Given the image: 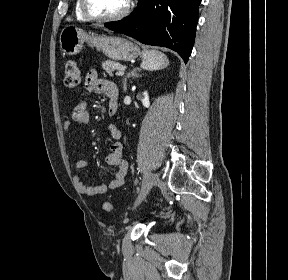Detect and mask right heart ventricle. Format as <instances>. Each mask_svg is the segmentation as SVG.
Listing matches in <instances>:
<instances>
[{
	"label": "right heart ventricle",
	"instance_id": "1",
	"mask_svg": "<svg viewBox=\"0 0 288 280\" xmlns=\"http://www.w3.org/2000/svg\"><path fill=\"white\" fill-rule=\"evenodd\" d=\"M74 13H75L76 19L79 20V21L86 22V21L90 20L82 13L81 8H80V1L79 0H76V2H75Z\"/></svg>",
	"mask_w": 288,
	"mask_h": 280
}]
</instances>
